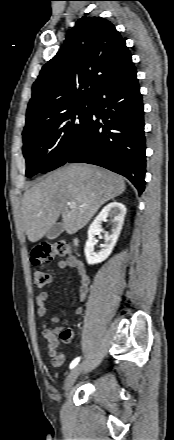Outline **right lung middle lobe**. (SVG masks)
I'll use <instances>...</instances> for the list:
<instances>
[{"mask_svg":"<svg viewBox=\"0 0 174 440\" xmlns=\"http://www.w3.org/2000/svg\"><path fill=\"white\" fill-rule=\"evenodd\" d=\"M90 111V99L83 100L23 131L28 177L52 171L65 163L73 144L86 130Z\"/></svg>","mask_w":174,"mask_h":440,"instance_id":"right-lung-middle-lobe-1","label":"right lung middle lobe"}]
</instances>
